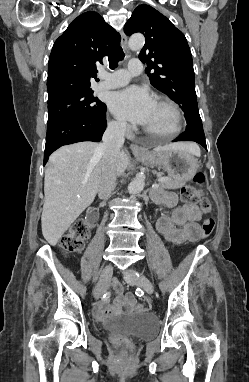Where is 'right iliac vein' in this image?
Instances as JSON below:
<instances>
[{
	"mask_svg": "<svg viewBox=\"0 0 249 382\" xmlns=\"http://www.w3.org/2000/svg\"><path fill=\"white\" fill-rule=\"evenodd\" d=\"M112 265H106L101 273L100 279L94 290V297L98 299L106 290L107 284L112 276Z\"/></svg>",
	"mask_w": 249,
	"mask_h": 382,
	"instance_id": "1",
	"label": "right iliac vein"
}]
</instances>
